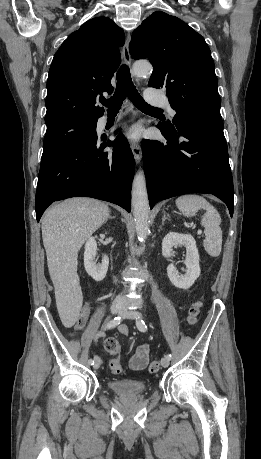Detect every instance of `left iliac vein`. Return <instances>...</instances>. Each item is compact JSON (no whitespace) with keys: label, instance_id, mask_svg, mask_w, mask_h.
<instances>
[{"label":"left iliac vein","instance_id":"obj_1","mask_svg":"<svg viewBox=\"0 0 261 459\" xmlns=\"http://www.w3.org/2000/svg\"><path fill=\"white\" fill-rule=\"evenodd\" d=\"M120 315L123 317V318H126V319H132V320H137L139 319V313L137 311H134V310H130V309H127V308H123V310L121 311ZM161 365L166 368L169 366V359L165 356L161 359Z\"/></svg>","mask_w":261,"mask_h":459}]
</instances>
